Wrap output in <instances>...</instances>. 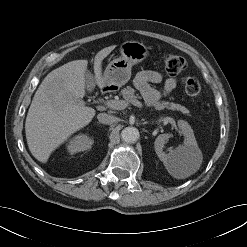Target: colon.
<instances>
[{
  "label": "colon",
  "mask_w": 247,
  "mask_h": 247,
  "mask_svg": "<svg viewBox=\"0 0 247 247\" xmlns=\"http://www.w3.org/2000/svg\"><path fill=\"white\" fill-rule=\"evenodd\" d=\"M165 70L170 75H178L187 67L186 60L175 54H168L164 58ZM182 87L189 96H197L201 92L200 83L193 77L182 79Z\"/></svg>",
  "instance_id": "1"
}]
</instances>
